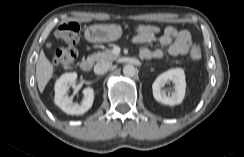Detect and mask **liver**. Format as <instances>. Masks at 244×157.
<instances>
[{
  "instance_id": "obj_1",
  "label": "liver",
  "mask_w": 244,
  "mask_h": 157,
  "mask_svg": "<svg viewBox=\"0 0 244 157\" xmlns=\"http://www.w3.org/2000/svg\"><path fill=\"white\" fill-rule=\"evenodd\" d=\"M54 67L43 51L40 52L36 64V79L39 91L42 93L53 76Z\"/></svg>"
}]
</instances>
